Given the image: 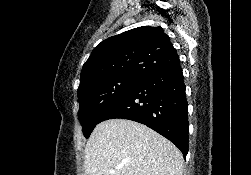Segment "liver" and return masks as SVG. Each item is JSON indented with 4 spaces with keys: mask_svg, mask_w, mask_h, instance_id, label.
Listing matches in <instances>:
<instances>
[{
    "mask_svg": "<svg viewBox=\"0 0 251 175\" xmlns=\"http://www.w3.org/2000/svg\"><path fill=\"white\" fill-rule=\"evenodd\" d=\"M85 175H182L183 155L154 129L131 119H106L84 149ZM116 169L115 173H109Z\"/></svg>",
    "mask_w": 251,
    "mask_h": 175,
    "instance_id": "obj_1",
    "label": "liver"
}]
</instances>
